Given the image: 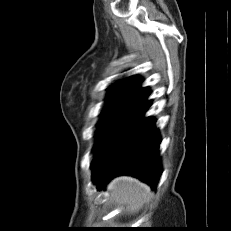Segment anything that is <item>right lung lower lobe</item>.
Listing matches in <instances>:
<instances>
[{
    "label": "right lung lower lobe",
    "instance_id": "right-lung-lower-lobe-1",
    "mask_svg": "<svg viewBox=\"0 0 231 231\" xmlns=\"http://www.w3.org/2000/svg\"><path fill=\"white\" fill-rule=\"evenodd\" d=\"M156 121L145 113L115 135L94 155L92 180L98 189L117 175H132L156 188L160 167Z\"/></svg>",
    "mask_w": 231,
    "mask_h": 231
}]
</instances>
